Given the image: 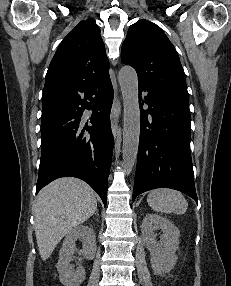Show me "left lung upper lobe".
Segmentation results:
<instances>
[{"label":"left lung upper lobe","mask_w":231,"mask_h":286,"mask_svg":"<svg viewBox=\"0 0 231 286\" xmlns=\"http://www.w3.org/2000/svg\"><path fill=\"white\" fill-rule=\"evenodd\" d=\"M121 58L136 70L138 83L188 96L179 56L165 33L152 22L142 19L129 27Z\"/></svg>","instance_id":"5c2ea615"}]
</instances>
